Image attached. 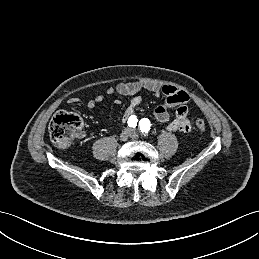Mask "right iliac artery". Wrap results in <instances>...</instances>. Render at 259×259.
I'll list each match as a JSON object with an SVG mask.
<instances>
[{
  "label": "right iliac artery",
  "instance_id": "1",
  "mask_svg": "<svg viewBox=\"0 0 259 259\" xmlns=\"http://www.w3.org/2000/svg\"><path fill=\"white\" fill-rule=\"evenodd\" d=\"M138 119L135 115H131L128 119V126L135 128L137 125Z\"/></svg>",
  "mask_w": 259,
  "mask_h": 259
}]
</instances>
